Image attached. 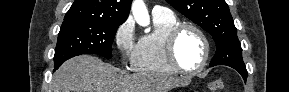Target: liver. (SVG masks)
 <instances>
[{
  "label": "liver",
  "mask_w": 289,
  "mask_h": 92,
  "mask_svg": "<svg viewBox=\"0 0 289 92\" xmlns=\"http://www.w3.org/2000/svg\"><path fill=\"white\" fill-rule=\"evenodd\" d=\"M183 79L158 74L122 75L111 64L91 55L76 56L54 73L50 92H169Z\"/></svg>",
  "instance_id": "6515ba94"
}]
</instances>
